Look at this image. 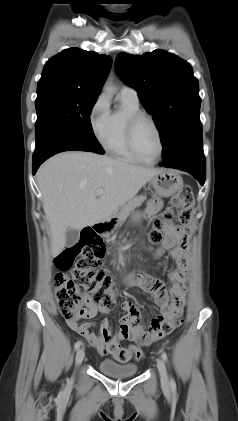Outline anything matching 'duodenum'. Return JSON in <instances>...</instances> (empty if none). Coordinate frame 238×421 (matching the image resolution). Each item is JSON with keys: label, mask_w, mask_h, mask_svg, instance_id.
I'll return each instance as SVG.
<instances>
[{"label": "duodenum", "mask_w": 238, "mask_h": 421, "mask_svg": "<svg viewBox=\"0 0 238 421\" xmlns=\"http://www.w3.org/2000/svg\"><path fill=\"white\" fill-rule=\"evenodd\" d=\"M111 227L110 223L104 222V221H100L97 222L95 224H93L91 227L86 228V232H90L93 234H97V235H101L103 233H105L106 231H108Z\"/></svg>", "instance_id": "obj_1"}]
</instances>
